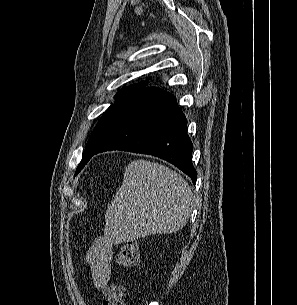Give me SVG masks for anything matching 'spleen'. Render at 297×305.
<instances>
[{"label": "spleen", "instance_id": "spleen-1", "mask_svg": "<svg viewBox=\"0 0 297 305\" xmlns=\"http://www.w3.org/2000/svg\"><path fill=\"white\" fill-rule=\"evenodd\" d=\"M193 201L190 186L177 172L159 163L133 161L108 205L106 232L118 242L177 232L187 224Z\"/></svg>", "mask_w": 297, "mask_h": 305}]
</instances>
